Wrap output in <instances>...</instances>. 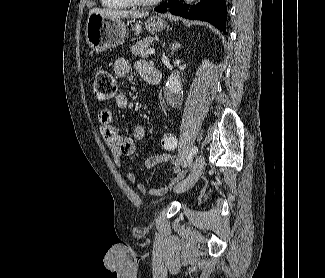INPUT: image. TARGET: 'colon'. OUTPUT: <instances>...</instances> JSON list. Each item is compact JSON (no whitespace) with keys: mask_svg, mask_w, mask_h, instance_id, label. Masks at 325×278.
Segmentation results:
<instances>
[{"mask_svg":"<svg viewBox=\"0 0 325 278\" xmlns=\"http://www.w3.org/2000/svg\"><path fill=\"white\" fill-rule=\"evenodd\" d=\"M117 92V84L114 76L107 70H98L93 81V93L97 101L101 103L111 100ZM161 145L166 151H174L177 147V139L174 134L161 138Z\"/></svg>","mask_w":325,"mask_h":278,"instance_id":"1","label":"colon"}]
</instances>
